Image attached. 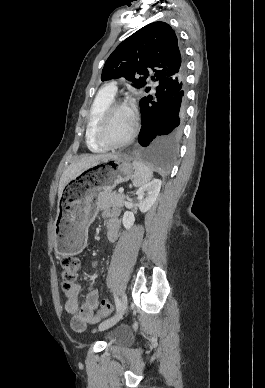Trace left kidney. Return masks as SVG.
I'll use <instances>...</instances> for the list:
<instances>
[{
  "label": "left kidney",
  "mask_w": 265,
  "mask_h": 388,
  "mask_svg": "<svg viewBox=\"0 0 265 388\" xmlns=\"http://www.w3.org/2000/svg\"><path fill=\"white\" fill-rule=\"evenodd\" d=\"M161 184V180H152V182L145 184V186H141V188L137 190L136 194L138 196L137 200L139 202L138 208L140 212H148V210L152 208L160 192ZM122 222L124 228L129 230L135 222L133 212H125Z\"/></svg>",
  "instance_id": "1"
}]
</instances>
